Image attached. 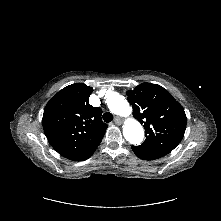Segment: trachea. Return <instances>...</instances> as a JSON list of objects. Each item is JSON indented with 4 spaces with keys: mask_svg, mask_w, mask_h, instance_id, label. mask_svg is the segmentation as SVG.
<instances>
[{
    "mask_svg": "<svg viewBox=\"0 0 221 221\" xmlns=\"http://www.w3.org/2000/svg\"><path fill=\"white\" fill-rule=\"evenodd\" d=\"M102 118L105 122L109 123L113 120V115L110 112H106L103 114Z\"/></svg>",
    "mask_w": 221,
    "mask_h": 221,
    "instance_id": "obj_1",
    "label": "trachea"
}]
</instances>
